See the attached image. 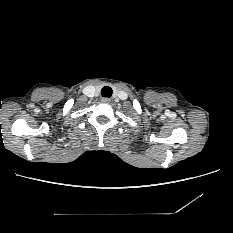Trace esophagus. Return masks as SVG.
<instances>
[{
	"label": "esophagus",
	"mask_w": 233,
	"mask_h": 233,
	"mask_svg": "<svg viewBox=\"0 0 233 233\" xmlns=\"http://www.w3.org/2000/svg\"><path fill=\"white\" fill-rule=\"evenodd\" d=\"M101 101L104 102V103H108V102L111 101V99H110V98H107V97H103V98L101 99Z\"/></svg>",
	"instance_id": "1"
}]
</instances>
